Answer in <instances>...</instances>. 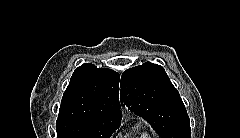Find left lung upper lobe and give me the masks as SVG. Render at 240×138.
<instances>
[{"label": "left lung upper lobe", "instance_id": "left-lung-upper-lobe-1", "mask_svg": "<svg viewBox=\"0 0 240 138\" xmlns=\"http://www.w3.org/2000/svg\"><path fill=\"white\" fill-rule=\"evenodd\" d=\"M121 101L162 138H191L190 120L162 66L146 62L121 77Z\"/></svg>", "mask_w": 240, "mask_h": 138}]
</instances>
